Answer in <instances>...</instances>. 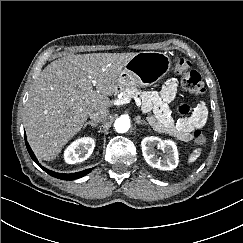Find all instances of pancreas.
<instances>
[{
    "instance_id": "1",
    "label": "pancreas",
    "mask_w": 243,
    "mask_h": 243,
    "mask_svg": "<svg viewBox=\"0 0 243 243\" xmlns=\"http://www.w3.org/2000/svg\"><path fill=\"white\" fill-rule=\"evenodd\" d=\"M123 97L133 98L135 96H140L141 99L145 100V92H142L140 89L132 86L127 87L122 91Z\"/></svg>"
}]
</instances>
